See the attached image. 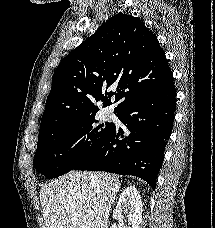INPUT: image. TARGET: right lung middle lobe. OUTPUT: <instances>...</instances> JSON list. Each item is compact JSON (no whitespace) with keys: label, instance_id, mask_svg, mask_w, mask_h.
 Here are the masks:
<instances>
[{"label":"right lung middle lobe","instance_id":"obj_1","mask_svg":"<svg viewBox=\"0 0 215 228\" xmlns=\"http://www.w3.org/2000/svg\"><path fill=\"white\" fill-rule=\"evenodd\" d=\"M95 114L40 129L34 167L47 179L61 176L91 154L112 132L113 123L96 126Z\"/></svg>","mask_w":215,"mask_h":228}]
</instances>
